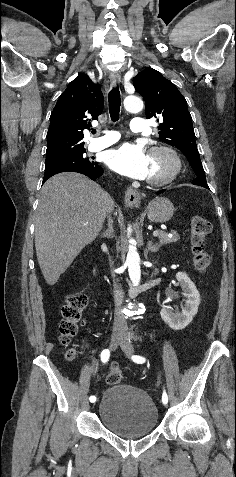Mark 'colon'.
<instances>
[{
  "label": "colon",
  "mask_w": 236,
  "mask_h": 477,
  "mask_svg": "<svg viewBox=\"0 0 236 477\" xmlns=\"http://www.w3.org/2000/svg\"><path fill=\"white\" fill-rule=\"evenodd\" d=\"M211 229V223L206 218H194L190 233L193 262L196 269L201 272L206 271L211 264V256L205 250V242ZM86 307L87 297L84 293L79 292L68 295L60 309L62 320L59 324L58 340L68 348L67 358L69 360H73L77 356V351L71 343L83 324V314ZM121 379V372L117 365L113 364L106 377L107 384L117 385L121 382Z\"/></svg>",
  "instance_id": "1"
}]
</instances>
